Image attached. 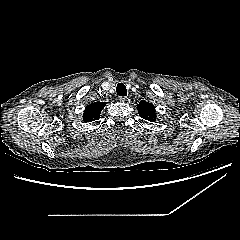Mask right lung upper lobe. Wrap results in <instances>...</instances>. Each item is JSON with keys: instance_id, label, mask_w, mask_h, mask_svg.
Wrapping results in <instances>:
<instances>
[{"instance_id": "right-lung-upper-lobe-1", "label": "right lung upper lobe", "mask_w": 240, "mask_h": 240, "mask_svg": "<svg viewBox=\"0 0 240 240\" xmlns=\"http://www.w3.org/2000/svg\"><path fill=\"white\" fill-rule=\"evenodd\" d=\"M104 102H95L85 108L83 119L85 122H92L98 120L102 109L105 107Z\"/></svg>"}]
</instances>
